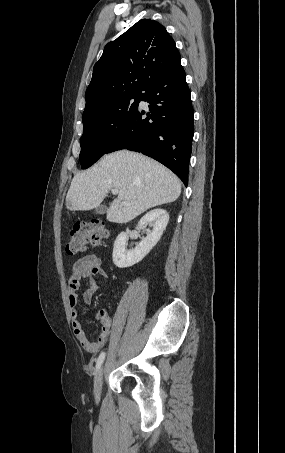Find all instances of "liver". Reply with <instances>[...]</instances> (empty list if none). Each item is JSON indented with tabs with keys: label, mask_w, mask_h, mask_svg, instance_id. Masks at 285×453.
Returning <instances> with one entry per match:
<instances>
[{
	"label": "liver",
	"mask_w": 285,
	"mask_h": 453,
	"mask_svg": "<svg viewBox=\"0 0 285 453\" xmlns=\"http://www.w3.org/2000/svg\"><path fill=\"white\" fill-rule=\"evenodd\" d=\"M110 189H117L118 197L107 210V220L126 223L149 208L177 200L181 183L157 161L121 150L103 156L90 169L74 176L66 208L70 211L96 208Z\"/></svg>",
	"instance_id": "liver-1"
}]
</instances>
